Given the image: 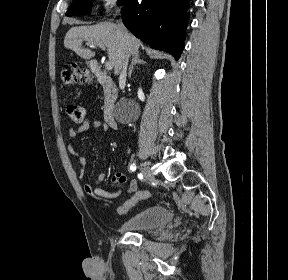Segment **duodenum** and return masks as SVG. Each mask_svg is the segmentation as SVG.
Instances as JSON below:
<instances>
[{"label":"duodenum","instance_id":"410a0bca","mask_svg":"<svg viewBox=\"0 0 288 280\" xmlns=\"http://www.w3.org/2000/svg\"><path fill=\"white\" fill-rule=\"evenodd\" d=\"M91 70L104 90V119L111 128H117L114 109L118 97V88L112 78L100 70L96 62L91 63Z\"/></svg>","mask_w":288,"mask_h":280}]
</instances>
